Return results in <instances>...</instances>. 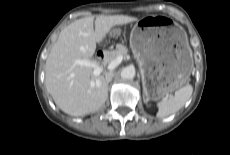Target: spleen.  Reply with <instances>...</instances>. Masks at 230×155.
<instances>
[{"instance_id":"obj_1","label":"spleen","mask_w":230,"mask_h":155,"mask_svg":"<svg viewBox=\"0 0 230 155\" xmlns=\"http://www.w3.org/2000/svg\"><path fill=\"white\" fill-rule=\"evenodd\" d=\"M193 92L192 85L188 84L177 91L173 96H167L157 103L160 118L168 117L179 111L185 103L190 99Z\"/></svg>"}]
</instances>
